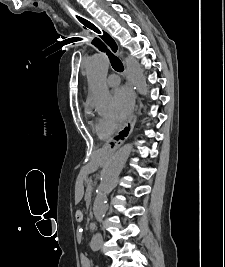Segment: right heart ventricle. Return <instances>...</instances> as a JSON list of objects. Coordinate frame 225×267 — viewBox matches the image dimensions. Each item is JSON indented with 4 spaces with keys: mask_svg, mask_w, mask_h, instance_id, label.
Segmentation results:
<instances>
[{
    "mask_svg": "<svg viewBox=\"0 0 225 267\" xmlns=\"http://www.w3.org/2000/svg\"><path fill=\"white\" fill-rule=\"evenodd\" d=\"M95 129H96V132L98 133V135H100L101 137H108V136L104 135V134L101 132V130H100L99 126H98V121H97L96 124H95Z\"/></svg>",
    "mask_w": 225,
    "mask_h": 267,
    "instance_id": "obj_1",
    "label": "right heart ventricle"
}]
</instances>
